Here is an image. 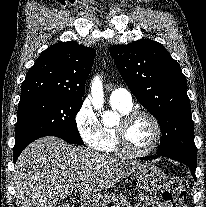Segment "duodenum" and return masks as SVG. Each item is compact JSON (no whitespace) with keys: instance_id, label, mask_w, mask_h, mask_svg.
Here are the masks:
<instances>
[{"instance_id":"obj_1","label":"duodenum","mask_w":206,"mask_h":207,"mask_svg":"<svg viewBox=\"0 0 206 207\" xmlns=\"http://www.w3.org/2000/svg\"><path fill=\"white\" fill-rule=\"evenodd\" d=\"M76 207H87L88 203L85 198H81L78 201H75Z\"/></svg>"}]
</instances>
